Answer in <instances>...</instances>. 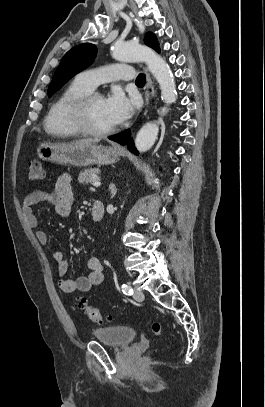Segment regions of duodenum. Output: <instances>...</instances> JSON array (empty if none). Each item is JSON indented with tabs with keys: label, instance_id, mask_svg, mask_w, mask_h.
<instances>
[{
	"label": "duodenum",
	"instance_id": "obj_1",
	"mask_svg": "<svg viewBox=\"0 0 265 407\" xmlns=\"http://www.w3.org/2000/svg\"><path fill=\"white\" fill-rule=\"evenodd\" d=\"M105 215V206L102 201H95L91 206V216L94 220L99 221Z\"/></svg>",
	"mask_w": 265,
	"mask_h": 407
}]
</instances>
